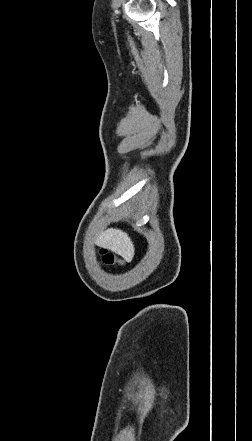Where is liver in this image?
<instances>
[{"instance_id": "obj_1", "label": "liver", "mask_w": 252, "mask_h": 441, "mask_svg": "<svg viewBox=\"0 0 252 441\" xmlns=\"http://www.w3.org/2000/svg\"><path fill=\"white\" fill-rule=\"evenodd\" d=\"M95 242L98 246L107 248L116 254L122 256L126 261H132L135 248L129 235L116 228H110L105 231H101L96 236Z\"/></svg>"}]
</instances>
